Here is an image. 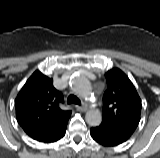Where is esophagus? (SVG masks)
Wrapping results in <instances>:
<instances>
[{
  "label": "esophagus",
  "mask_w": 160,
  "mask_h": 158,
  "mask_svg": "<svg viewBox=\"0 0 160 158\" xmlns=\"http://www.w3.org/2000/svg\"><path fill=\"white\" fill-rule=\"evenodd\" d=\"M76 109H77L78 111L84 112V111L87 110V105H86L85 103H82L81 106H76Z\"/></svg>",
  "instance_id": "esophagus-1"
}]
</instances>
